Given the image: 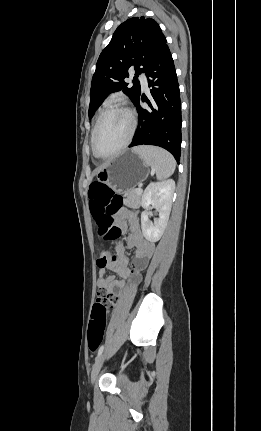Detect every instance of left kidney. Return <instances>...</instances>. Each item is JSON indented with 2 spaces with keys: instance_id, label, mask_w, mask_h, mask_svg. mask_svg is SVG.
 I'll return each mask as SVG.
<instances>
[{
  "instance_id": "1",
  "label": "left kidney",
  "mask_w": 261,
  "mask_h": 431,
  "mask_svg": "<svg viewBox=\"0 0 261 431\" xmlns=\"http://www.w3.org/2000/svg\"><path fill=\"white\" fill-rule=\"evenodd\" d=\"M175 189L173 180L151 183L142 196V206L146 210L141 214V228L144 237L150 242H157L167 226ZM158 209L159 218L154 224L149 220V207Z\"/></svg>"
}]
</instances>
